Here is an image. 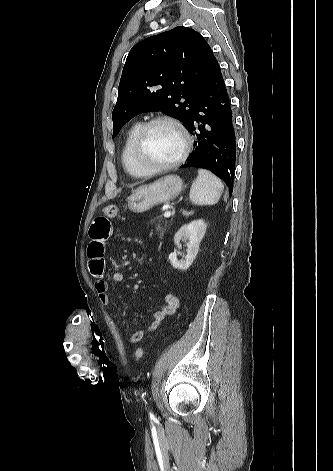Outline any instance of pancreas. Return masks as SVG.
I'll return each instance as SVG.
<instances>
[{"mask_svg":"<svg viewBox=\"0 0 333 471\" xmlns=\"http://www.w3.org/2000/svg\"><path fill=\"white\" fill-rule=\"evenodd\" d=\"M155 226H156V231L160 234V235H163L164 232L169 228V222L167 221H163L162 219H157V221H155Z\"/></svg>","mask_w":333,"mask_h":471,"instance_id":"pancreas-1","label":"pancreas"}]
</instances>
